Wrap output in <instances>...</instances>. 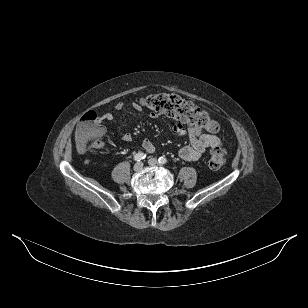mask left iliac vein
Masks as SVG:
<instances>
[{
	"label": "left iliac vein",
	"instance_id": "left-iliac-vein-1",
	"mask_svg": "<svg viewBox=\"0 0 308 308\" xmlns=\"http://www.w3.org/2000/svg\"><path fill=\"white\" fill-rule=\"evenodd\" d=\"M148 164L151 165V166H158V165H160L156 158H150L148 160Z\"/></svg>",
	"mask_w": 308,
	"mask_h": 308
}]
</instances>
